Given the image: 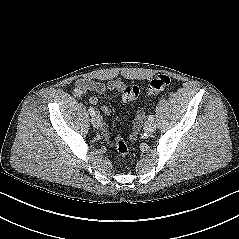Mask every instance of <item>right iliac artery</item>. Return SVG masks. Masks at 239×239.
I'll return each mask as SVG.
<instances>
[{"instance_id": "82829eb1", "label": "right iliac artery", "mask_w": 239, "mask_h": 239, "mask_svg": "<svg viewBox=\"0 0 239 239\" xmlns=\"http://www.w3.org/2000/svg\"><path fill=\"white\" fill-rule=\"evenodd\" d=\"M89 112H90V115L91 116H95V111H94V108L93 107H89Z\"/></svg>"}]
</instances>
